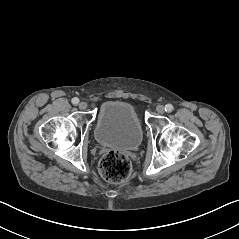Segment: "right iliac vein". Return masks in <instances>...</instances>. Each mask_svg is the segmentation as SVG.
<instances>
[{
  "label": "right iliac vein",
  "instance_id": "63e3f726",
  "mask_svg": "<svg viewBox=\"0 0 239 239\" xmlns=\"http://www.w3.org/2000/svg\"><path fill=\"white\" fill-rule=\"evenodd\" d=\"M78 106L81 110H85L87 108V103L86 102H80Z\"/></svg>",
  "mask_w": 239,
  "mask_h": 239
}]
</instances>
